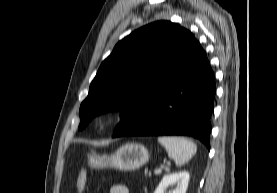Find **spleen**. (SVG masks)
<instances>
[{
  "label": "spleen",
  "mask_w": 277,
  "mask_h": 193,
  "mask_svg": "<svg viewBox=\"0 0 277 193\" xmlns=\"http://www.w3.org/2000/svg\"><path fill=\"white\" fill-rule=\"evenodd\" d=\"M170 158H173L177 166L187 163L196 153V145L189 139L176 136L158 137Z\"/></svg>",
  "instance_id": "spleen-1"
}]
</instances>
